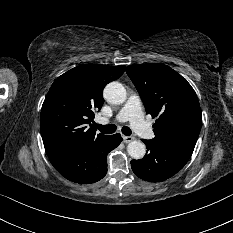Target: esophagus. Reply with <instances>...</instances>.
Returning <instances> with one entry per match:
<instances>
[{"mask_svg":"<svg viewBox=\"0 0 233 233\" xmlns=\"http://www.w3.org/2000/svg\"><path fill=\"white\" fill-rule=\"evenodd\" d=\"M122 138L124 143H129L135 139L133 136H122Z\"/></svg>","mask_w":233,"mask_h":233,"instance_id":"34e87169","label":"esophagus"}]
</instances>
